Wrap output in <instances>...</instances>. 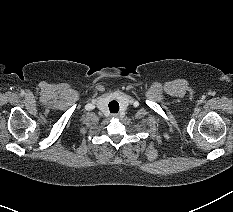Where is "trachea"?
I'll use <instances>...</instances> for the list:
<instances>
[{
	"label": "trachea",
	"instance_id": "3493384b",
	"mask_svg": "<svg viewBox=\"0 0 233 212\" xmlns=\"http://www.w3.org/2000/svg\"><path fill=\"white\" fill-rule=\"evenodd\" d=\"M108 106L111 113H117L119 111V103L116 100L110 101Z\"/></svg>",
	"mask_w": 233,
	"mask_h": 212
}]
</instances>
